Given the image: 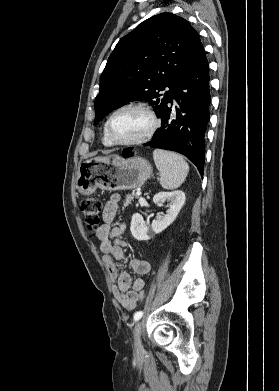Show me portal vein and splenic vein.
Wrapping results in <instances>:
<instances>
[{
  "instance_id": "obj_1",
  "label": "portal vein and splenic vein",
  "mask_w": 279,
  "mask_h": 391,
  "mask_svg": "<svg viewBox=\"0 0 279 391\" xmlns=\"http://www.w3.org/2000/svg\"><path fill=\"white\" fill-rule=\"evenodd\" d=\"M136 195H138V196L141 195V192H140V191H137V192H136Z\"/></svg>"
}]
</instances>
